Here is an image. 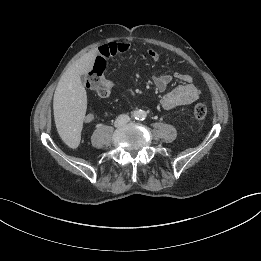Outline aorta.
Here are the masks:
<instances>
[{
    "mask_svg": "<svg viewBox=\"0 0 261 261\" xmlns=\"http://www.w3.org/2000/svg\"><path fill=\"white\" fill-rule=\"evenodd\" d=\"M136 117L138 119H144L146 117V113L142 110H139L137 113H136Z\"/></svg>",
    "mask_w": 261,
    "mask_h": 261,
    "instance_id": "762f6f07",
    "label": "aorta"
}]
</instances>
